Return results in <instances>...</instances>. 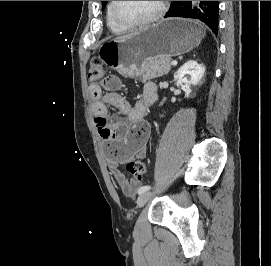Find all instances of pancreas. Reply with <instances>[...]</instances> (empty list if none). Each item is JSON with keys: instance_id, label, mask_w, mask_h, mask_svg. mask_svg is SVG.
<instances>
[{"instance_id": "obj_1", "label": "pancreas", "mask_w": 271, "mask_h": 266, "mask_svg": "<svg viewBox=\"0 0 271 266\" xmlns=\"http://www.w3.org/2000/svg\"><path fill=\"white\" fill-rule=\"evenodd\" d=\"M172 68L170 58L148 59L142 66L143 77L146 79L157 78L168 74Z\"/></svg>"}]
</instances>
